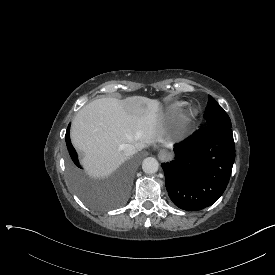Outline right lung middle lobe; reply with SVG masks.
<instances>
[{
	"mask_svg": "<svg viewBox=\"0 0 275 275\" xmlns=\"http://www.w3.org/2000/svg\"><path fill=\"white\" fill-rule=\"evenodd\" d=\"M70 125L66 132L68 149V178L76 194L85 202L87 208L97 211L111 209L127 199L131 181L134 180L139 161L145 160L149 152L142 148L131 155L129 163L124 162L112 172L113 177L101 178L91 170L84 169L79 163L77 153L70 141Z\"/></svg>",
	"mask_w": 275,
	"mask_h": 275,
	"instance_id": "dd1d6c3e",
	"label": "right lung middle lobe"
}]
</instances>
